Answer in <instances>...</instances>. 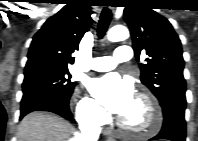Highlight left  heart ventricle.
I'll use <instances>...</instances> for the list:
<instances>
[{
  "label": "left heart ventricle",
  "mask_w": 198,
  "mask_h": 141,
  "mask_svg": "<svg viewBox=\"0 0 198 141\" xmlns=\"http://www.w3.org/2000/svg\"><path fill=\"white\" fill-rule=\"evenodd\" d=\"M121 117L125 122L134 127L141 128L148 124L147 109L137 99L134 100L130 109Z\"/></svg>",
  "instance_id": "left-heart-ventricle-1"
}]
</instances>
